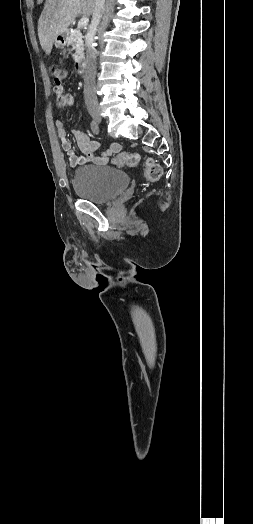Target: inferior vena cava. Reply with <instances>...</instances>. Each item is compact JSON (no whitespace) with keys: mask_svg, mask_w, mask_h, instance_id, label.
Wrapping results in <instances>:
<instances>
[{"mask_svg":"<svg viewBox=\"0 0 253 524\" xmlns=\"http://www.w3.org/2000/svg\"><path fill=\"white\" fill-rule=\"evenodd\" d=\"M105 0H95V8L92 15L89 33L86 40V70L84 74V98L87 107L97 106L96 96V57L97 51L93 46L94 35L100 23L104 10Z\"/></svg>","mask_w":253,"mask_h":524,"instance_id":"602c4592","label":"inferior vena cava"}]
</instances>
